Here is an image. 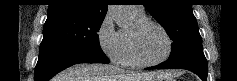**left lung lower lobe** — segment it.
<instances>
[{
    "label": "left lung lower lobe",
    "instance_id": "obj_1",
    "mask_svg": "<svg viewBox=\"0 0 237 81\" xmlns=\"http://www.w3.org/2000/svg\"><path fill=\"white\" fill-rule=\"evenodd\" d=\"M168 68H180L189 70L195 74H197L202 81H207V60L206 59H196L189 60L183 63L174 64V65H166L165 63H161L154 67H149L147 69H168Z\"/></svg>",
    "mask_w": 237,
    "mask_h": 81
}]
</instances>
